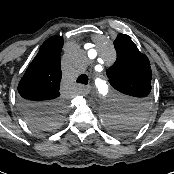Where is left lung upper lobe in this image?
<instances>
[{
  "label": "left lung upper lobe",
  "instance_id": "left-lung-upper-lobe-1",
  "mask_svg": "<svg viewBox=\"0 0 174 174\" xmlns=\"http://www.w3.org/2000/svg\"><path fill=\"white\" fill-rule=\"evenodd\" d=\"M114 47L117 59L107 70L109 82L116 90L134 97V101L124 116L111 115L109 125L114 134L127 136L138 130L146 118L152 73L148 58L128 35L118 34Z\"/></svg>",
  "mask_w": 174,
  "mask_h": 174
}]
</instances>
